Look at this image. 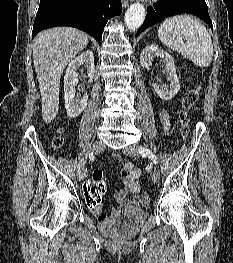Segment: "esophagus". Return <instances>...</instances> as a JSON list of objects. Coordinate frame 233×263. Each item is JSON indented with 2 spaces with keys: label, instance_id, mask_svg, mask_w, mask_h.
I'll return each mask as SVG.
<instances>
[{
  "label": "esophagus",
  "instance_id": "34e87169",
  "mask_svg": "<svg viewBox=\"0 0 233 263\" xmlns=\"http://www.w3.org/2000/svg\"><path fill=\"white\" fill-rule=\"evenodd\" d=\"M122 6H123L124 8H127V7L129 6L128 0H122Z\"/></svg>",
  "mask_w": 233,
  "mask_h": 263
}]
</instances>
